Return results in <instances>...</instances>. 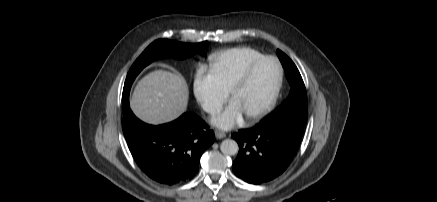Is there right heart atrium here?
<instances>
[{
    "instance_id": "right-heart-atrium-1",
    "label": "right heart atrium",
    "mask_w": 437,
    "mask_h": 202,
    "mask_svg": "<svg viewBox=\"0 0 437 202\" xmlns=\"http://www.w3.org/2000/svg\"><path fill=\"white\" fill-rule=\"evenodd\" d=\"M193 94L208 114H215L228 97L226 90L211 69L199 65L194 73L192 83Z\"/></svg>"
}]
</instances>
